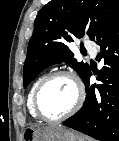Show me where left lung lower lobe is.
I'll return each instance as SVG.
<instances>
[{
	"instance_id": "left-lung-lower-lobe-1",
	"label": "left lung lower lobe",
	"mask_w": 119,
	"mask_h": 141,
	"mask_svg": "<svg viewBox=\"0 0 119 141\" xmlns=\"http://www.w3.org/2000/svg\"><path fill=\"white\" fill-rule=\"evenodd\" d=\"M92 41L100 46L97 58L105 65L97 78L101 83L90 84L89 69L83 78L86 87L83 107L63 125L100 141H119V8Z\"/></svg>"
}]
</instances>
